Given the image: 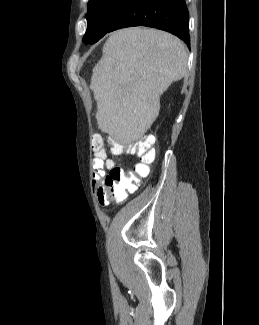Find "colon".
I'll list each match as a JSON object with an SVG mask.
<instances>
[{
  "label": "colon",
  "mask_w": 259,
  "mask_h": 325,
  "mask_svg": "<svg viewBox=\"0 0 259 325\" xmlns=\"http://www.w3.org/2000/svg\"><path fill=\"white\" fill-rule=\"evenodd\" d=\"M111 151L119 155L124 152L136 154L141 162L128 171L120 167H112L108 175L101 181L98 191L99 196L106 202L119 203L123 201L128 193L136 191L138 186L147 177L150 165L153 163L156 150L155 139L149 135L143 139L124 144L116 140L109 139ZM104 138L95 135L91 141V147L95 155L103 158L106 155Z\"/></svg>",
  "instance_id": "colon-1"
}]
</instances>
